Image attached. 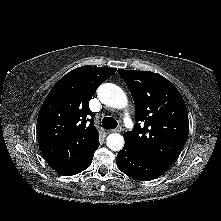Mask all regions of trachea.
I'll return each mask as SVG.
<instances>
[{
	"mask_svg": "<svg viewBox=\"0 0 221 221\" xmlns=\"http://www.w3.org/2000/svg\"><path fill=\"white\" fill-rule=\"evenodd\" d=\"M117 124V121L112 117H105L102 120V127L104 129H115Z\"/></svg>",
	"mask_w": 221,
	"mask_h": 221,
	"instance_id": "obj_1",
	"label": "trachea"
}]
</instances>
